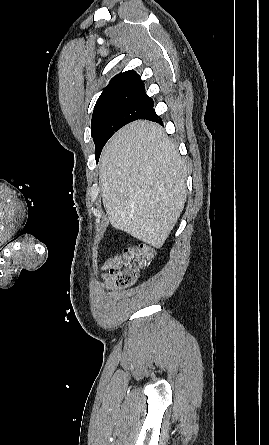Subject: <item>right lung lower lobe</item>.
Returning a JSON list of instances; mask_svg holds the SVG:
<instances>
[{
	"label": "right lung lower lobe",
	"instance_id": "1",
	"mask_svg": "<svg viewBox=\"0 0 269 445\" xmlns=\"http://www.w3.org/2000/svg\"><path fill=\"white\" fill-rule=\"evenodd\" d=\"M139 119H146V120H151L154 122H158L161 124V119H159V117L156 115L154 109H153V104L152 106L145 112V114H143Z\"/></svg>",
	"mask_w": 269,
	"mask_h": 445
}]
</instances>
